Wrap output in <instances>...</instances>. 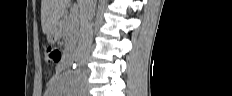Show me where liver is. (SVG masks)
Instances as JSON below:
<instances>
[{"mask_svg":"<svg viewBox=\"0 0 232 96\" xmlns=\"http://www.w3.org/2000/svg\"><path fill=\"white\" fill-rule=\"evenodd\" d=\"M70 0H41V26L44 34H48L59 25ZM81 0H78L80 5Z\"/></svg>","mask_w":232,"mask_h":96,"instance_id":"6515ba94","label":"liver"}]
</instances>
